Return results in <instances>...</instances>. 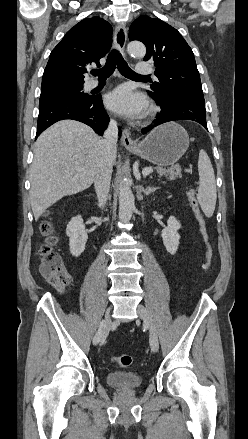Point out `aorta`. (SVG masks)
Instances as JSON below:
<instances>
[{
	"mask_svg": "<svg viewBox=\"0 0 248 439\" xmlns=\"http://www.w3.org/2000/svg\"><path fill=\"white\" fill-rule=\"evenodd\" d=\"M127 51L131 56L142 58L146 54V48L143 43L138 41L130 42ZM135 209V198L129 186L128 180L121 179L119 184V219L122 222H128Z\"/></svg>",
	"mask_w": 248,
	"mask_h": 439,
	"instance_id": "1",
	"label": "aorta"
}]
</instances>
